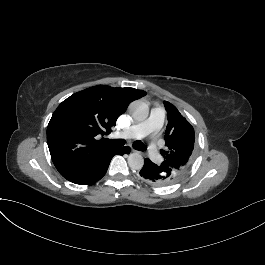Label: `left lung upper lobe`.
<instances>
[{"mask_svg":"<svg viewBox=\"0 0 265 265\" xmlns=\"http://www.w3.org/2000/svg\"><path fill=\"white\" fill-rule=\"evenodd\" d=\"M164 104L168 125L164 137L167 150L161 152L164 157L162 163L172 168L178 180L185 174L193 158L194 129L173 104L168 101H164Z\"/></svg>","mask_w":265,"mask_h":265,"instance_id":"obj_1","label":"left lung upper lobe"}]
</instances>
